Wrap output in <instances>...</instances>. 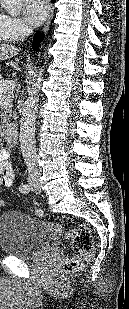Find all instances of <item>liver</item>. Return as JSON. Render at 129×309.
<instances>
[{
  "mask_svg": "<svg viewBox=\"0 0 129 309\" xmlns=\"http://www.w3.org/2000/svg\"><path fill=\"white\" fill-rule=\"evenodd\" d=\"M20 49L15 45L0 42V61H6L18 55Z\"/></svg>",
  "mask_w": 129,
  "mask_h": 309,
  "instance_id": "liver-1",
  "label": "liver"
}]
</instances>
